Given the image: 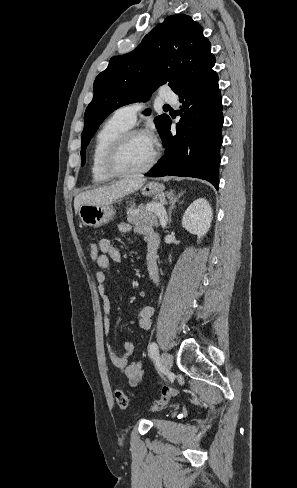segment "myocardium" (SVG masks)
<instances>
[{
    "instance_id": "1",
    "label": "myocardium",
    "mask_w": 297,
    "mask_h": 488,
    "mask_svg": "<svg viewBox=\"0 0 297 488\" xmlns=\"http://www.w3.org/2000/svg\"><path fill=\"white\" fill-rule=\"evenodd\" d=\"M146 135L144 131L140 129H128L123 132L109 147L105 157L106 171L113 177L125 178L136 176L148 172L156 164L159 159V150L155 148L154 154L150 161L142 168L136 170L125 171L118 167V158L126 143L134 136Z\"/></svg>"
}]
</instances>
